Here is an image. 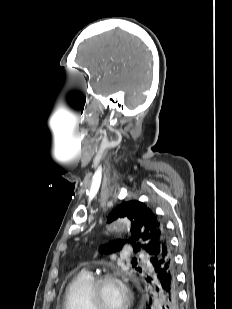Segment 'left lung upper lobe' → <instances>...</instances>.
Segmentation results:
<instances>
[{"label":"left lung upper lobe","mask_w":232,"mask_h":309,"mask_svg":"<svg viewBox=\"0 0 232 309\" xmlns=\"http://www.w3.org/2000/svg\"><path fill=\"white\" fill-rule=\"evenodd\" d=\"M124 217H127L132 224L130 238L116 240L105 245L101 248L105 254L120 251L126 243H129L135 252L143 250L151 260L158 256L162 244H169L163 222L144 203L132 200L120 204L109 214L108 223ZM132 265L134 267L137 265L136 258L133 259ZM136 270L143 272L141 267H136Z\"/></svg>","instance_id":"1"}]
</instances>
